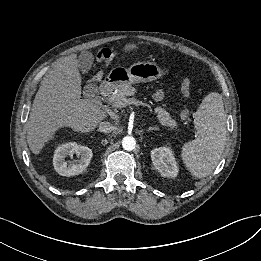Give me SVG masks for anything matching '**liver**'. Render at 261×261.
I'll use <instances>...</instances> for the list:
<instances>
[{"label":"liver","mask_w":261,"mask_h":261,"mask_svg":"<svg viewBox=\"0 0 261 261\" xmlns=\"http://www.w3.org/2000/svg\"><path fill=\"white\" fill-rule=\"evenodd\" d=\"M134 49H138L136 44H126L124 47L125 52ZM78 66L76 54L64 57L41 82L27 122V143L35 155L59 128L91 132L107 116L96 103L80 99L81 75Z\"/></svg>","instance_id":"6515ba94"}]
</instances>
